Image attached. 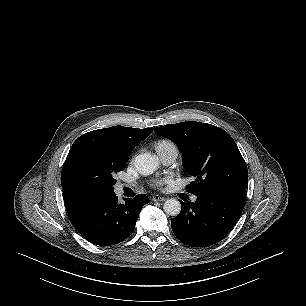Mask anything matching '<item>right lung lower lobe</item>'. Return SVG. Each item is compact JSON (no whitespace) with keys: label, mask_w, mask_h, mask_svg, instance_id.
Instances as JSON below:
<instances>
[{"label":"right lung lower lobe","mask_w":306,"mask_h":306,"mask_svg":"<svg viewBox=\"0 0 306 306\" xmlns=\"http://www.w3.org/2000/svg\"><path fill=\"white\" fill-rule=\"evenodd\" d=\"M149 202L144 194L118 202L109 198L90 203L69 214L74 228L89 242L101 246L117 244L126 239L135 228L142 207Z\"/></svg>","instance_id":"obj_1"}]
</instances>
